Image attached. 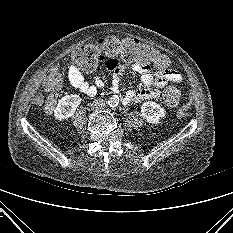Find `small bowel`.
Instances as JSON below:
<instances>
[{
	"instance_id": "small-bowel-1",
	"label": "small bowel",
	"mask_w": 233,
	"mask_h": 233,
	"mask_svg": "<svg viewBox=\"0 0 233 233\" xmlns=\"http://www.w3.org/2000/svg\"><path fill=\"white\" fill-rule=\"evenodd\" d=\"M105 64L109 70L113 71L111 90L117 93L126 68L120 62L119 58H106ZM131 68L140 75L145 88L129 90L123 98V103L125 105L138 104L144 100L157 99L161 95V89L168 82H180L182 79L180 73L175 70L157 69V71L153 73L151 67L144 64H132ZM68 79L72 87L88 97L94 96L97 93V88L103 86V81L100 78H96L95 85H90L84 79L81 71L75 64L71 65L68 70Z\"/></svg>"
}]
</instances>
